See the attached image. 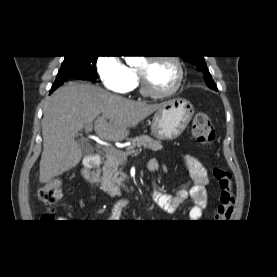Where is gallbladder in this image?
<instances>
[{
	"instance_id": "obj_1",
	"label": "gallbladder",
	"mask_w": 277,
	"mask_h": 277,
	"mask_svg": "<svg viewBox=\"0 0 277 277\" xmlns=\"http://www.w3.org/2000/svg\"><path fill=\"white\" fill-rule=\"evenodd\" d=\"M77 144L79 145V147L82 150V153L84 155H91L93 153V149L92 147L89 145V143L87 142V140L82 139V138H78L77 139Z\"/></svg>"
}]
</instances>
